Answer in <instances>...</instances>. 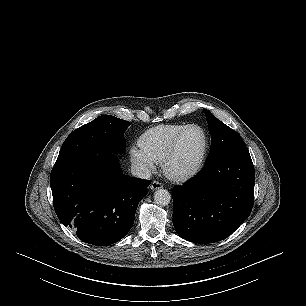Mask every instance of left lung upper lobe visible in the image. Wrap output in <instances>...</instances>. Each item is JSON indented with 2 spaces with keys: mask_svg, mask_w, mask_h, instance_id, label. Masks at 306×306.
<instances>
[{
  "mask_svg": "<svg viewBox=\"0 0 306 306\" xmlns=\"http://www.w3.org/2000/svg\"><path fill=\"white\" fill-rule=\"evenodd\" d=\"M204 112L211 134V148L206 163L228 155L249 153L236 131L225 125L208 110Z\"/></svg>",
  "mask_w": 306,
  "mask_h": 306,
  "instance_id": "left-lung-upper-lobe-1",
  "label": "left lung upper lobe"
}]
</instances>
